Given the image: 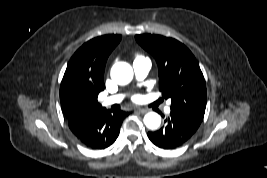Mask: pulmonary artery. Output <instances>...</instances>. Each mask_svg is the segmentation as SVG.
I'll list each match as a JSON object with an SVG mask.
<instances>
[{"label": "pulmonary artery", "instance_id": "pulmonary-artery-1", "mask_svg": "<svg viewBox=\"0 0 267 178\" xmlns=\"http://www.w3.org/2000/svg\"><path fill=\"white\" fill-rule=\"evenodd\" d=\"M151 68V61L147 58H138L133 62V69L138 79L146 77ZM123 99V95H114L106 97L102 100V105L107 107L116 103H119ZM166 112L169 113L170 109L166 108Z\"/></svg>", "mask_w": 267, "mask_h": 178}]
</instances>
